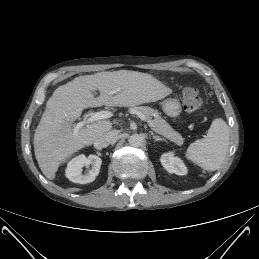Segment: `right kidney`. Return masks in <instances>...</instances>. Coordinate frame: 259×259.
Here are the masks:
<instances>
[{
    "mask_svg": "<svg viewBox=\"0 0 259 259\" xmlns=\"http://www.w3.org/2000/svg\"><path fill=\"white\" fill-rule=\"evenodd\" d=\"M102 160L96 155H79L73 158L67 165L66 168V177L74 182L79 184H86L93 182L96 176L99 174ZM91 166V170L87 173L82 174L83 167Z\"/></svg>",
    "mask_w": 259,
    "mask_h": 259,
    "instance_id": "right-kidney-1",
    "label": "right kidney"
}]
</instances>
